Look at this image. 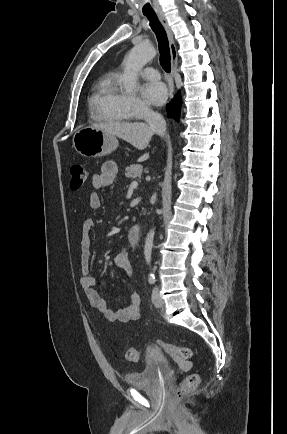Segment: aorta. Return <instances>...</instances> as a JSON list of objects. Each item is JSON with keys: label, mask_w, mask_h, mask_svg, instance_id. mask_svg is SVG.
<instances>
[{"label": "aorta", "mask_w": 287, "mask_h": 434, "mask_svg": "<svg viewBox=\"0 0 287 434\" xmlns=\"http://www.w3.org/2000/svg\"><path fill=\"white\" fill-rule=\"evenodd\" d=\"M156 55L155 49L147 44L135 45L127 58L124 60V72L122 76V84L126 92H132L138 85L139 71ZM154 230H150L146 236L144 246V257L148 265L151 264L152 248L154 241Z\"/></svg>", "instance_id": "aorta-1"}]
</instances>
